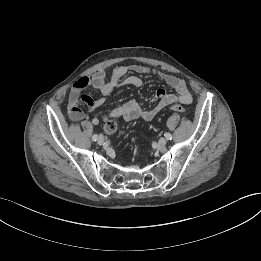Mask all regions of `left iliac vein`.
<instances>
[{
	"mask_svg": "<svg viewBox=\"0 0 261 261\" xmlns=\"http://www.w3.org/2000/svg\"><path fill=\"white\" fill-rule=\"evenodd\" d=\"M167 143V140L165 138H160L159 141H158V145L160 147H164Z\"/></svg>",
	"mask_w": 261,
	"mask_h": 261,
	"instance_id": "1",
	"label": "left iliac vein"
}]
</instances>
